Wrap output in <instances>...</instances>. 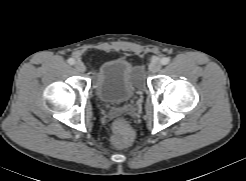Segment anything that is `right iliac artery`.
I'll return each instance as SVG.
<instances>
[{
	"label": "right iliac artery",
	"mask_w": 246,
	"mask_h": 181,
	"mask_svg": "<svg viewBox=\"0 0 246 181\" xmlns=\"http://www.w3.org/2000/svg\"><path fill=\"white\" fill-rule=\"evenodd\" d=\"M68 63H69L70 65H73V64H75V60H74L73 58H69V59H68Z\"/></svg>",
	"instance_id": "obj_1"
}]
</instances>
